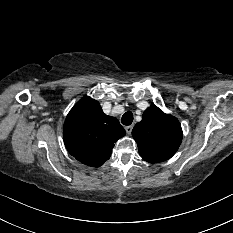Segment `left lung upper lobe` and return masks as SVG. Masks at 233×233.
<instances>
[{
    "label": "left lung upper lobe",
    "instance_id": "left-lung-upper-lobe-1",
    "mask_svg": "<svg viewBox=\"0 0 233 233\" xmlns=\"http://www.w3.org/2000/svg\"><path fill=\"white\" fill-rule=\"evenodd\" d=\"M132 135L140 156L149 163L168 160L182 141L179 121L154 104L144 111L142 121L134 126Z\"/></svg>",
    "mask_w": 233,
    "mask_h": 233
}]
</instances>
